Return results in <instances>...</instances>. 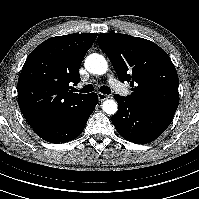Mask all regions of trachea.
Instances as JSON below:
<instances>
[{
	"mask_svg": "<svg viewBox=\"0 0 199 199\" xmlns=\"http://www.w3.org/2000/svg\"><path fill=\"white\" fill-rule=\"evenodd\" d=\"M100 92L104 93V94H110L111 93V89L108 86H101L100 87ZM94 91V87L93 85H85L79 92L81 93H89Z\"/></svg>",
	"mask_w": 199,
	"mask_h": 199,
	"instance_id": "trachea-1",
	"label": "trachea"
}]
</instances>
